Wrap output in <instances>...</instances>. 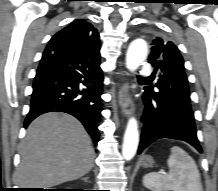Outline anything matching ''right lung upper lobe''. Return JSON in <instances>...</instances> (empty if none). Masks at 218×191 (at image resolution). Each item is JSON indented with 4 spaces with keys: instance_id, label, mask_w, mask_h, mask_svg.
Returning <instances> with one entry per match:
<instances>
[{
    "instance_id": "obj_1",
    "label": "right lung upper lobe",
    "mask_w": 218,
    "mask_h": 191,
    "mask_svg": "<svg viewBox=\"0 0 218 191\" xmlns=\"http://www.w3.org/2000/svg\"><path fill=\"white\" fill-rule=\"evenodd\" d=\"M49 44L62 45L81 52L100 49L97 30L85 20L74 21L56 33Z\"/></svg>"
}]
</instances>
